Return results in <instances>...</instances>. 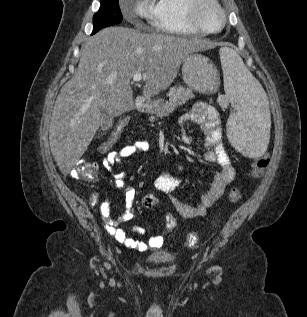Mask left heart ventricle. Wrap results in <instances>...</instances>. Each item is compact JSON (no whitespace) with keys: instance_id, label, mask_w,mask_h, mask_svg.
I'll use <instances>...</instances> for the list:
<instances>
[{"instance_id":"obj_1","label":"left heart ventricle","mask_w":307,"mask_h":317,"mask_svg":"<svg viewBox=\"0 0 307 317\" xmlns=\"http://www.w3.org/2000/svg\"><path fill=\"white\" fill-rule=\"evenodd\" d=\"M201 20L204 26L209 30H215L220 26V16L217 10L211 6L207 5L201 11Z\"/></svg>"}]
</instances>
